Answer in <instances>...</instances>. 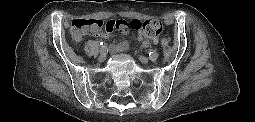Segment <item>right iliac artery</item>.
Instances as JSON below:
<instances>
[{
    "label": "right iliac artery",
    "instance_id": "right-iliac-artery-1",
    "mask_svg": "<svg viewBox=\"0 0 255 122\" xmlns=\"http://www.w3.org/2000/svg\"><path fill=\"white\" fill-rule=\"evenodd\" d=\"M100 45H101V50H103V51L107 50V46L105 43L101 42Z\"/></svg>",
    "mask_w": 255,
    "mask_h": 122
}]
</instances>
